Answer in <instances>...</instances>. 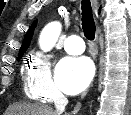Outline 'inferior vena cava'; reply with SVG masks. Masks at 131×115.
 <instances>
[{"label": "inferior vena cava", "mask_w": 131, "mask_h": 115, "mask_svg": "<svg viewBox=\"0 0 131 115\" xmlns=\"http://www.w3.org/2000/svg\"><path fill=\"white\" fill-rule=\"evenodd\" d=\"M67 104H68V99L63 94H57L55 96L54 105L56 108V113L58 115H61L64 112Z\"/></svg>", "instance_id": "obj_1"}]
</instances>
